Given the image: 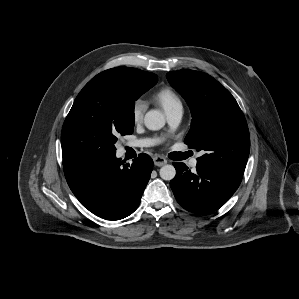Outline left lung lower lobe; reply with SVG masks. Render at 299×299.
I'll use <instances>...</instances> for the list:
<instances>
[{
    "label": "left lung lower lobe",
    "instance_id": "1",
    "mask_svg": "<svg viewBox=\"0 0 299 299\" xmlns=\"http://www.w3.org/2000/svg\"><path fill=\"white\" fill-rule=\"evenodd\" d=\"M176 176L170 185L177 202L186 210L207 214L225 204L239 187L242 177L197 163L196 171L173 163Z\"/></svg>",
    "mask_w": 299,
    "mask_h": 299
}]
</instances>
